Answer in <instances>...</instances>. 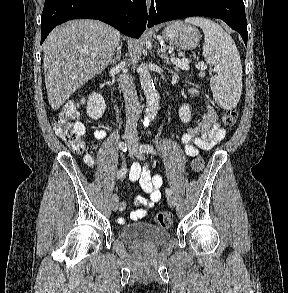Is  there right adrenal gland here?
Wrapping results in <instances>:
<instances>
[{"label": "right adrenal gland", "instance_id": "right-adrenal-gland-1", "mask_svg": "<svg viewBox=\"0 0 288 293\" xmlns=\"http://www.w3.org/2000/svg\"><path fill=\"white\" fill-rule=\"evenodd\" d=\"M121 49H122V43H120L118 50H117V54L116 57H114V59L110 62V64H115L118 60H120L121 58Z\"/></svg>", "mask_w": 288, "mask_h": 293}]
</instances>
